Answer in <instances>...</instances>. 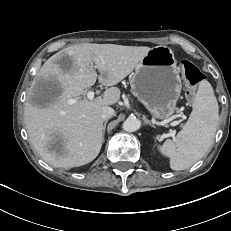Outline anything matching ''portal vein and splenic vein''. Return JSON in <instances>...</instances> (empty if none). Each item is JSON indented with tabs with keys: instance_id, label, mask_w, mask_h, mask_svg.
<instances>
[{
	"instance_id": "1",
	"label": "portal vein and splenic vein",
	"mask_w": 231,
	"mask_h": 231,
	"mask_svg": "<svg viewBox=\"0 0 231 231\" xmlns=\"http://www.w3.org/2000/svg\"><path fill=\"white\" fill-rule=\"evenodd\" d=\"M94 95H95V93L93 91H88L87 92V98L89 100H93L94 99ZM74 102H75L74 100H70V103H74Z\"/></svg>"
}]
</instances>
